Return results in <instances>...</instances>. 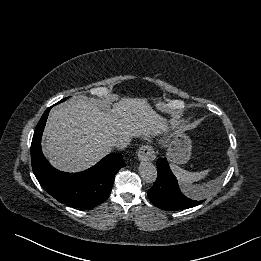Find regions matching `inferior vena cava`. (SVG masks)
<instances>
[{"label": "inferior vena cava", "instance_id": "602c4592", "mask_svg": "<svg viewBox=\"0 0 261 261\" xmlns=\"http://www.w3.org/2000/svg\"><path fill=\"white\" fill-rule=\"evenodd\" d=\"M130 140L127 138H119L117 140H115V142L113 143V147L117 148V149H124L125 147H127V145H129Z\"/></svg>", "mask_w": 261, "mask_h": 261}]
</instances>
